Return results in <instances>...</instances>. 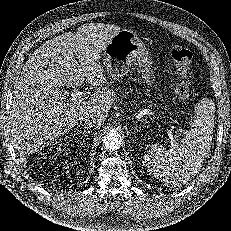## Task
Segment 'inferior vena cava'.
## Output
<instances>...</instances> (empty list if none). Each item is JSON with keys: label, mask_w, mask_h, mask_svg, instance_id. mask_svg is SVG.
<instances>
[{"label": "inferior vena cava", "mask_w": 231, "mask_h": 231, "mask_svg": "<svg viewBox=\"0 0 231 231\" xmlns=\"http://www.w3.org/2000/svg\"><path fill=\"white\" fill-rule=\"evenodd\" d=\"M97 120L91 114H85L80 118V125L86 129L96 126Z\"/></svg>", "instance_id": "1"}]
</instances>
